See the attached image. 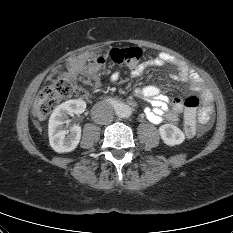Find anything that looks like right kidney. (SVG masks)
<instances>
[{
	"label": "right kidney",
	"mask_w": 233,
	"mask_h": 233,
	"mask_svg": "<svg viewBox=\"0 0 233 233\" xmlns=\"http://www.w3.org/2000/svg\"><path fill=\"white\" fill-rule=\"evenodd\" d=\"M86 103L82 100H69L60 104L49 119L50 146L58 153L73 151L81 138V127L74 125L70 130L64 129L68 115L81 114L85 111Z\"/></svg>",
	"instance_id": "ca27d5eb"
}]
</instances>
